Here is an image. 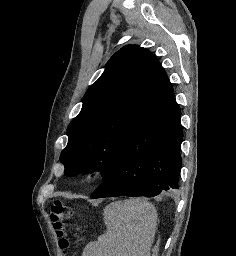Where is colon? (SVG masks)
I'll list each match as a JSON object with an SVG mask.
<instances>
[{"label": "colon", "mask_w": 236, "mask_h": 256, "mask_svg": "<svg viewBox=\"0 0 236 256\" xmlns=\"http://www.w3.org/2000/svg\"><path fill=\"white\" fill-rule=\"evenodd\" d=\"M73 210L66 206L63 201L55 200L48 208V216L53 224L56 235L59 238V247L66 252L70 246V241L65 237V222L73 217Z\"/></svg>", "instance_id": "1"}]
</instances>
